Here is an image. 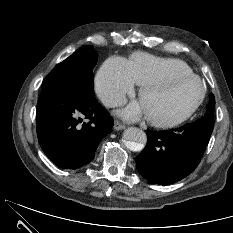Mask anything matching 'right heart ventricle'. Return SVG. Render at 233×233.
Wrapping results in <instances>:
<instances>
[{"mask_svg": "<svg viewBox=\"0 0 233 233\" xmlns=\"http://www.w3.org/2000/svg\"><path fill=\"white\" fill-rule=\"evenodd\" d=\"M125 61L130 77L138 86L162 76L193 73L191 67L182 60L158 57L143 52L134 53Z\"/></svg>", "mask_w": 233, "mask_h": 233, "instance_id": "obj_1", "label": "right heart ventricle"}]
</instances>
